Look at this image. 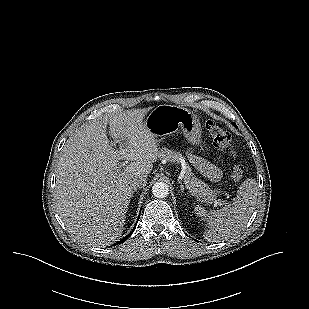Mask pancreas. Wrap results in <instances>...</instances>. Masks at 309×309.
<instances>
[{"label":"pancreas","mask_w":309,"mask_h":309,"mask_svg":"<svg viewBox=\"0 0 309 309\" xmlns=\"http://www.w3.org/2000/svg\"><path fill=\"white\" fill-rule=\"evenodd\" d=\"M159 157L170 162H176L181 157V154L179 152L163 148L160 150ZM184 180L190 189L195 191V194L203 197L205 202L211 204L216 201L218 191L212 190L206 183L193 176L189 167L186 170Z\"/></svg>","instance_id":"pancreas-1"}]
</instances>
